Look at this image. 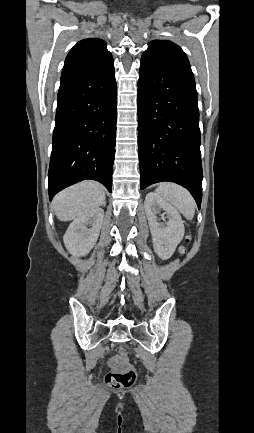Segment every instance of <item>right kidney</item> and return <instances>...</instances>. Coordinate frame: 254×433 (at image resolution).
I'll return each instance as SVG.
<instances>
[{"mask_svg":"<svg viewBox=\"0 0 254 433\" xmlns=\"http://www.w3.org/2000/svg\"><path fill=\"white\" fill-rule=\"evenodd\" d=\"M104 218V210L94 209L77 217L64 235V244L70 254L85 256L96 244Z\"/></svg>","mask_w":254,"mask_h":433,"instance_id":"1","label":"right kidney"}]
</instances>
